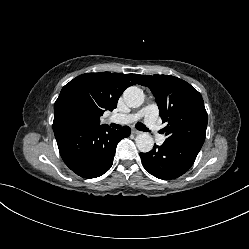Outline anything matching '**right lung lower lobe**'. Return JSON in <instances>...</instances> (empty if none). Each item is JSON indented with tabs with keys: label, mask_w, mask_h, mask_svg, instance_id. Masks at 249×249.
Returning <instances> with one entry per match:
<instances>
[{
	"label": "right lung lower lobe",
	"mask_w": 249,
	"mask_h": 249,
	"mask_svg": "<svg viewBox=\"0 0 249 249\" xmlns=\"http://www.w3.org/2000/svg\"><path fill=\"white\" fill-rule=\"evenodd\" d=\"M53 131L63 161L84 178L106 173L113 164L118 142L131 133L128 126L114 130L108 125L88 128L68 123L54 125Z\"/></svg>",
	"instance_id": "right-lung-lower-lobe-1"
}]
</instances>
